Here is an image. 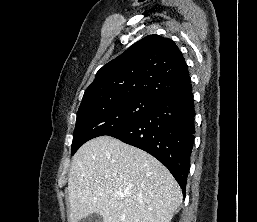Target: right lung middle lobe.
Here are the masks:
<instances>
[{"label":"right lung middle lobe","mask_w":257,"mask_h":222,"mask_svg":"<svg viewBox=\"0 0 257 222\" xmlns=\"http://www.w3.org/2000/svg\"><path fill=\"white\" fill-rule=\"evenodd\" d=\"M159 102L147 97L97 98L80 105L77 112L71 155L88 140L112 135L140 120Z\"/></svg>","instance_id":"obj_1"}]
</instances>
